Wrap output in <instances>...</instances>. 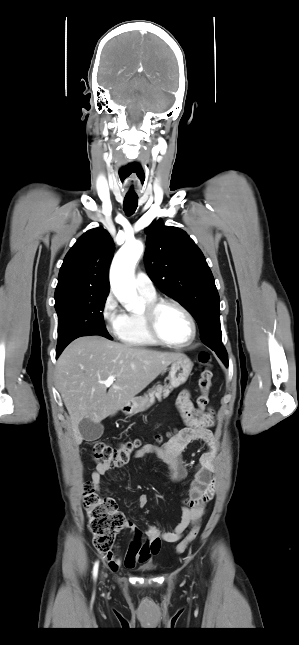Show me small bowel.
Listing matches in <instances>:
<instances>
[{"label": "small bowel", "instance_id": "c3829d8e", "mask_svg": "<svg viewBox=\"0 0 299 645\" xmlns=\"http://www.w3.org/2000/svg\"><path fill=\"white\" fill-rule=\"evenodd\" d=\"M177 408L185 423L176 437L162 447L144 445L137 449L133 457L144 458L154 455L161 459L167 467L168 486L178 483L186 478L189 472V465L183 458V451L195 441L202 442L206 449L199 457L197 464L191 469L193 480L191 481L187 496L182 500V516L179 523L171 531H161L158 527L145 523V530H140L132 520H127L126 528L134 532V539L130 543L124 556L116 551L106 554V560L110 567H118L124 564L127 568H133L137 563L146 562L152 556L158 554L161 543L177 542L185 532L197 524L205 513L206 504L215 494V480L211 473L215 470V452L217 439L212 431L214 416L209 409L201 418L194 417V405L188 391H183L177 399ZM109 464L99 463L93 471L92 486L99 491L102 477L109 471L116 469ZM149 497L140 494L138 505L145 508L148 505Z\"/></svg>", "mask_w": 299, "mask_h": 645}]
</instances>
